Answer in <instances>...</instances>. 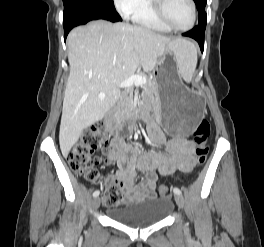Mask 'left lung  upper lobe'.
Instances as JSON below:
<instances>
[{
  "mask_svg": "<svg viewBox=\"0 0 264 247\" xmlns=\"http://www.w3.org/2000/svg\"><path fill=\"white\" fill-rule=\"evenodd\" d=\"M198 9V24L206 25L207 17L205 12V6L207 0H194Z\"/></svg>",
  "mask_w": 264,
  "mask_h": 247,
  "instance_id": "left-lung-upper-lobe-1",
  "label": "left lung upper lobe"
}]
</instances>
